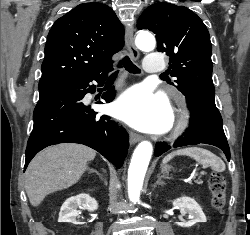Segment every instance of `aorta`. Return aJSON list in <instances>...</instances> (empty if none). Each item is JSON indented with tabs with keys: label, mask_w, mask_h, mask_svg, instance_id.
<instances>
[{
	"label": "aorta",
	"mask_w": 250,
	"mask_h": 235,
	"mask_svg": "<svg viewBox=\"0 0 250 235\" xmlns=\"http://www.w3.org/2000/svg\"><path fill=\"white\" fill-rule=\"evenodd\" d=\"M135 43L140 50L146 52L152 51L156 45L154 36L145 31L138 33ZM152 151V144L148 141H143L139 143L133 153L128 169V196L133 203L139 201L140 192L152 156Z\"/></svg>",
	"instance_id": "obj_1"
}]
</instances>
